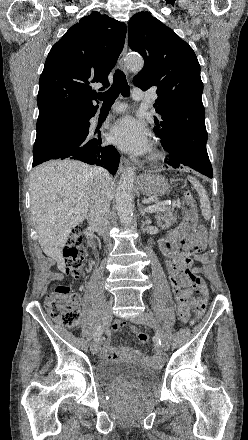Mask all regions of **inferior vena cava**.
Masks as SVG:
<instances>
[{
  "instance_id": "inferior-vena-cava-1",
  "label": "inferior vena cava",
  "mask_w": 248,
  "mask_h": 440,
  "mask_svg": "<svg viewBox=\"0 0 248 440\" xmlns=\"http://www.w3.org/2000/svg\"><path fill=\"white\" fill-rule=\"evenodd\" d=\"M92 174L98 187L92 198L87 220L89 228L102 234L104 240L107 241V224L111 203L109 187L112 178L109 172L101 167H94Z\"/></svg>"
}]
</instances>
